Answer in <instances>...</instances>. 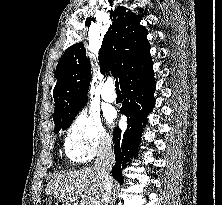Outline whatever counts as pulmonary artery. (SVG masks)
Listing matches in <instances>:
<instances>
[{
    "mask_svg": "<svg viewBox=\"0 0 222 205\" xmlns=\"http://www.w3.org/2000/svg\"><path fill=\"white\" fill-rule=\"evenodd\" d=\"M102 98L106 102H114L116 100V93L113 89V83L111 81H108L103 86L102 92H101Z\"/></svg>",
    "mask_w": 222,
    "mask_h": 205,
    "instance_id": "1",
    "label": "pulmonary artery"
}]
</instances>
